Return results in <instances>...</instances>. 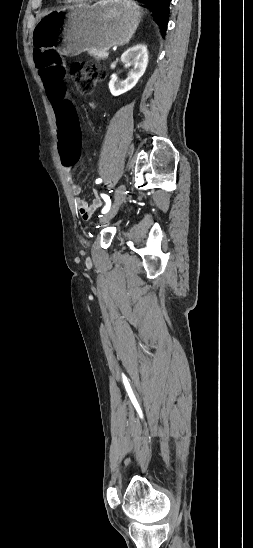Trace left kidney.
Masks as SVG:
<instances>
[{
    "label": "left kidney",
    "mask_w": 253,
    "mask_h": 548,
    "mask_svg": "<svg viewBox=\"0 0 253 548\" xmlns=\"http://www.w3.org/2000/svg\"><path fill=\"white\" fill-rule=\"evenodd\" d=\"M121 61L126 67H133L129 76L124 81L111 79L109 90L113 96H119L131 90L143 76L148 64V50L145 44H137L121 56Z\"/></svg>",
    "instance_id": "5707ae66"
}]
</instances>
